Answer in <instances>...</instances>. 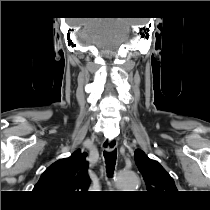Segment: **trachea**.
Returning a JSON list of instances; mask_svg holds the SVG:
<instances>
[{
    "mask_svg": "<svg viewBox=\"0 0 210 210\" xmlns=\"http://www.w3.org/2000/svg\"><path fill=\"white\" fill-rule=\"evenodd\" d=\"M104 157L107 164L108 177H112L116 164L117 150L114 149L113 151L110 152H104Z\"/></svg>",
    "mask_w": 210,
    "mask_h": 210,
    "instance_id": "trachea-1",
    "label": "trachea"
}]
</instances>
